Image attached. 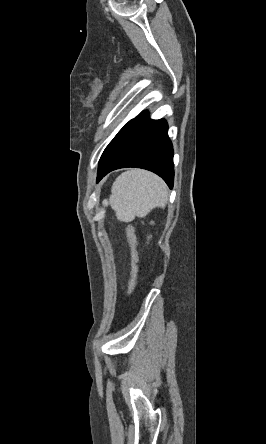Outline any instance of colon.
Segmentation results:
<instances>
[{
    "mask_svg": "<svg viewBox=\"0 0 266 444\" xmlns=\"http://www.w3.org/2000/svg\"><path fill=\"white\" fill-rule=\"evenodd\" d=\"M127 240L130 250V275L128 282V293L131 295L134 291L137 273H138V258L136 250V235L132 225H127L126 227Z\"/></svg>",
    "mask_w": 266,
    "mask_h": 444,
    "instance_id": "5ec220e1",
    "label": "colon"
}]
</instances>
